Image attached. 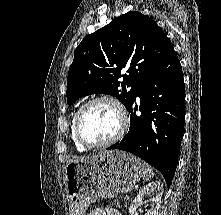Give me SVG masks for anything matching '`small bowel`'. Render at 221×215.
<instances>
[{"label":"small bowel","mask_w":221,"mask_h":215,"mask_svg":"<svg viewBox=\"0 0 221 215\" xmlns=\"http://www.w3.org/2000/svg\"><path fill=\"white\" fill-rule=\"evenodd\" d=\"M90 215H122L120 211L113 208H98L90 213Z\"/></svg>","instance_id":"1"}]
</instances>
